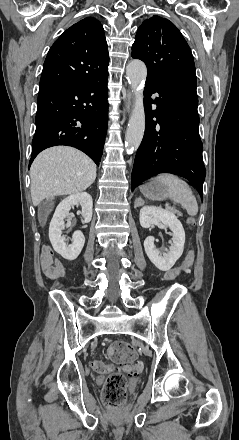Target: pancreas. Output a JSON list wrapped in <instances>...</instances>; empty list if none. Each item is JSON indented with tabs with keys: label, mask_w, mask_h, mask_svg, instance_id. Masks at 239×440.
Wrapping results in <instances>:
<instances>
[{
	"label": "pancreas",
	"mask_w": 239,
	"mask_h": 440,
	"mask_svg": "<svg viewBox=\"0 0 239 440\" xmlns=\"http://www.w3.org/2000/svg\"><path fill=\"white\" fill-rule=\"evenodd\" d=\"M174 212H175V210H174ZM175 214H179V216H180V212H175Z\"/></svg>",
	"instance_id": "1"
}]
</instances>
